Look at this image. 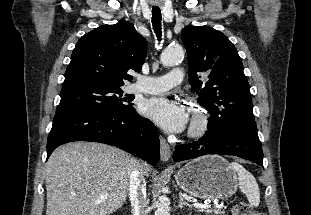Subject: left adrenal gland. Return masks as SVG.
Returning <instances> with one entry per match:
<instances>
[{
	"mask_svg": "<svg viewBox=\"0 0 311 215\" xmlns=\"http://www.w3.org/2000/svg\"><path fill=\"white\" fill-rule=\"evenodd\" d=\"M179 198L180 199H179L178 208L182 209L184 206H188L189 208H192L191 204L184 201V197L182 194L179 195Z\"/></svg>",
	"mask_w": 311,
	"mask_h": 215,
	"instance_id": "a2214340",
	"label": "left adrenal gland"
}]
</instances>
